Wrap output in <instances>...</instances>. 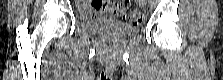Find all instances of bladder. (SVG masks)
I'll return each instance as SVG.
<instances>
[{"label": "bladder", "instance_id": "31cf9c89", "mask_svg": "<svg viewBox=\"0 0 223 80\" xmlns=\"http://www.w3.org/2000/svg\"><path fill=\"white\" fill-rule=\"evenodd\" d=\"M77 23L90 33L119 39L131 37L139 31L137 25L128 24L114 19V17L104 15L90 16L82 14L78 17Z\"/></svg>", "mask_w": 223, "mask_h": 80}]
</instances>
